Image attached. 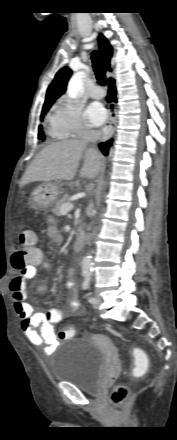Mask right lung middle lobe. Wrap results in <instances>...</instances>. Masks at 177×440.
Segmentation results:
<instances>
[{
	"mask_svg": "<svg viewBox=\"0 0 177 440\" xmlns=\"http://www.w3.org/2000/svg\"><path fill=\"white\" fill-rule=\"evenodd\" d=\"M54 102H47V103H44V105H43V109H42V113H41V116H40V119L41 120H43V118H44V116H45V114L48 112V110L50 109V107H51V105L53 104ZM38 138L39 139H45V136H44V133H43V131H42V126L40 125L39 126V134H38Z\"/></svg>",
	"mask_w": 177,
	"mask_h": 440,
	"instance_id": "1",
	"label": "right lung middle lobe"
}]
</instances>
